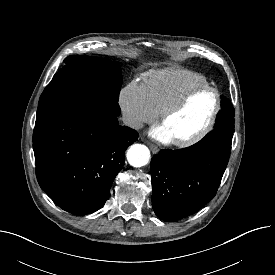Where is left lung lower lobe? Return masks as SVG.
<instances>
[{
    "label": "left lung lower lobe",
    "instance_id": "1",
    "mask_svg": "<svg viewBox=\"0 0 275 275\" xmlns=\"http://www.w3.org/2000/svg\"><path fill=\"white\" fill-rule=\"evenodd\" d=\"M221 110L217 120H222ZM233 132L216 129L198 143L179 150H161L151 159L152 206L164 221L196 213L216 194L226 169Z\"/></svg>",
    "mask_w": 275,
    "mask_h": 275
}]
</instances>
